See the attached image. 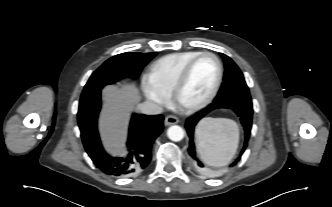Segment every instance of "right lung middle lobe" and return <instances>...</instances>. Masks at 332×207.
Instances as JSON below:
<instances>
[{
    "label": "right lung middle lobe",
    "mask_w": 332,
    "mask_h": 207,
    "mask_svg": "<svg viewBox=\"0 0 332 207\" xmlns=\"http://www.w3.org/2000/svg\"><path fill=\"white\" fill-rule=\"evenodd\" d=\"M155 55L156 53H122L111 57L91 75L81 98L100 92L105 85L125 77L136 79Z\"/></svg>",
    "instance_id": "1"
}]
</instances>
